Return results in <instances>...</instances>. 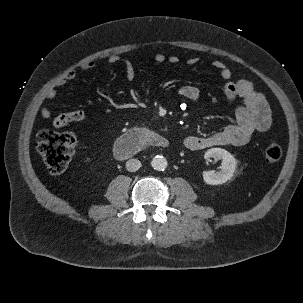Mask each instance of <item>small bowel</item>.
Here are the masks:
<instances>
[{"label":"small bowel","instance_id":"1","mask_svg":"<svg viewBox=\"0 0 303 303\" xmlns=\"http://www.w3.org/2000/svg\"><path fill=\"white\" fill-rule=\"evenodd\" d=\"M158 64L169 63L171 65H180V59L175 55H166L157 53L153 57ZM197 57L188 59L185 64L193 66L198 62ZM108 62L114 65H120L129 82L136 78V72L133 62L120 55H111ZM212 66L219 71L221 78L224 80V96L229 104H234L237 100L241 102L235 107V122L227 125L222 130L207 136H188L183 140L185 148L191 151L204 150L214 146L244 145L255 133H262L271 127V113L265 97L255 91L253 84L246 79L233 80L231 70L219 60L212 62ZM95 67L94 61H87L82 65L83 70H91ZM77 77L74 69L67 71L57 82L56 86L61 87L73 81ZM179 94L187 100H197L201 96V90L193 84H186L180 87ZM57 96L56 89L50 88L46 97L54 99ZM43 118L51 117V112L47 107L41 109ZM86 114L83 110H74L62 113L56 116L52 123L55 128L64 127L70 123L83 121Z\"/></svg>","mask_w":303,"mask_h":303}]
</instances>
